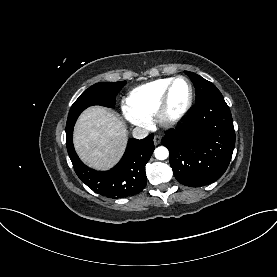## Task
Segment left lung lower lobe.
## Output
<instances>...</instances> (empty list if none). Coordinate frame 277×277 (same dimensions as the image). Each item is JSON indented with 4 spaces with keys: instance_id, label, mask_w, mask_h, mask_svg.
<instances>
[{
    "instance_id": "0a47b994",
    "label": "left lung lower lobe",
    "mask_w": 277,
    "mask_h": 277,
    "mask_svg": "<svg viewBox=\"0 0 277 277\" xmlns=\"http://www.w3.org/2000/svg\"><path fill=\"white\" fill-rule=\"evenodd\" d=\"M161 143L181 184L200 187L218 180L226 171L235 147L230 109L222 95L197 103L185 122L166 133Z\"/></svg>"
}]
</instances>
